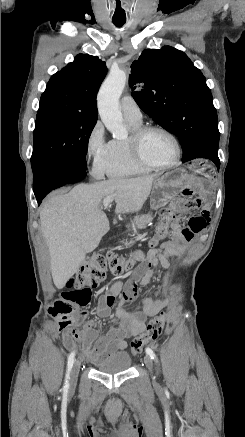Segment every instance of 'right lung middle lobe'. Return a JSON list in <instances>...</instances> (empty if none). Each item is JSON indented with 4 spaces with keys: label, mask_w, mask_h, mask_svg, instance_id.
Wrapping results in <instances>:
<instances>
[{
    "label": "right lung middle lobe",
    "mask_w": 245,
    "mask_h": 437,
    "mask_svg": "<svg viewBox=\"0 0 245 437\" xmlns=\"http://www.w3.org/2000/svg\"><path fill=\"white\" fill-rule=\"evenodd\" d=\"M97 118L61 107L39 108L33 132L32 171L52 163L85 167Z\"/></svg>",
    "instance_id": "1"
}]
</instances>
